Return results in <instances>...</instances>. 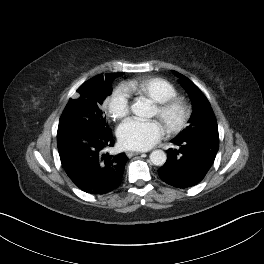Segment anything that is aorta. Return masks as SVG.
<instances>
[{"label": "aorta", "instance_id": "762f6f07", "mask_svg": "<svg viewBox=\"0 0 264 264\" xmlns=\"http://www.w3.org/2000/svg\"><path fill=\"white\" fill-rule=\"evenodd\" d=\"M131 111L136 116L150 117L152 116V108L150 104L143 101H137L131 106ZM167 159L166 153L162 150H154L150 154V161L156 166H162Z\"/></svg>", "mask_w": 264, "mask_h": 264}]
</instances>
